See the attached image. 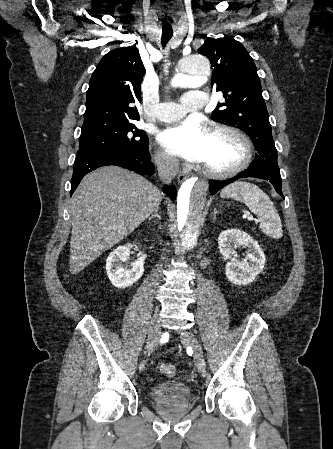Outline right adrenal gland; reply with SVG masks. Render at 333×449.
<instances>
[{"instance_id": "obj_1", "label": "right adrenal gland", "mask_w": 333, "mask_h": 449, "mask_svg": "<svg viewBox=\"0 0 333 449\" xmlns=\"http://www.w3.org/2000/svg\"><path fill=\"white\" fill-rule=\"evenodd\" d=\"M159 208L157 210H155L154 214H152L148 220H152L153 218H158L159 220L161 219L160 215L158 214Z\"/></svg>"}]
</instances>
